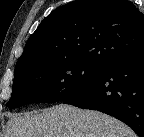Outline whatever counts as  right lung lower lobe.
I'll return each mask as SVG.
<instances>
[{"label": "right lung lower lobe", "instance_id": "98d812e1", "mask_svg": "<svg viewBox=\"0 0 144 137\" xmlns=\"http://www.w3.org/2000/svg\"><path fill=\"white\" fill-rule=\"evenodd\" d=\"M63 103L111 115L144 137V48L106 66L101 77Z\"/></svg>", "mask_w": 144, "mask_h": 137}]
</instances>
